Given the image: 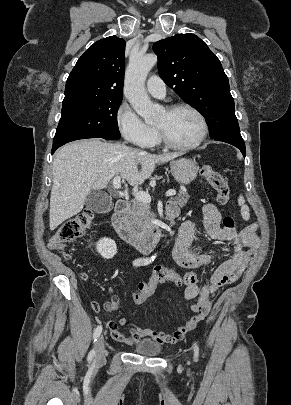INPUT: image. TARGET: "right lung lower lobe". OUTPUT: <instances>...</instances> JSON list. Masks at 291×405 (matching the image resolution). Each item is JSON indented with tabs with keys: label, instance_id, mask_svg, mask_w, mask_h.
I'll list each match as a JSON object with an SVG mask.
<instances>
[{
	"label": "right lung lower lobe",
	"instance_id": "1",
	"mask_svg": "<svg viewBox=\"0 0 291 405\" xmlns=\"http://www.w3.org/2000/svg\"><path fill=\"white\" fill-rule=\"evenodd\" d=\"M56 151V149L52 150V153H54Z\"/></svg>",
	"mask_w": 291,
	"mask_h": 405
}]
</instances>
